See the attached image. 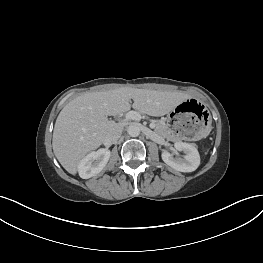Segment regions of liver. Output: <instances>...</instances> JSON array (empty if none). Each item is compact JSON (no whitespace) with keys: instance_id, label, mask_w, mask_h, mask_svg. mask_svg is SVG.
<instances>
[{"instance_id":"1","label":"liver","mask_w":263,"mask_h":263,"mask_svg":"<svg viewBox=\"0 0 263 263\" xmlns=\"http://www.w3.org/2000/svg\"><path fill=\"white\" fill-rule=\"evenodd\" d=\"M189 96L183 92H167L121 87L102 92H87L70 101L59 113L53 131V151L64 169L75 175L79 162L97 149L108 133L122 124L107 116L133 109L151 116H162Z\"/></svg>"}]
</instances>
